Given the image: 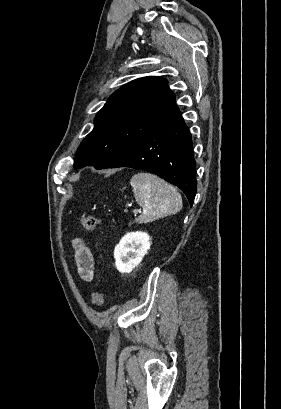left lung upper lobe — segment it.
<instances>
[{"instance_id":"1","label":"left lung upper lobe","mask_w":281,"mask_h":409,"mask_svg":"<svg viewBox=\"0 0 281 409\" xmlns=\"http://www.w3.org/2000/svg\"><path fill=\"white\" fill-rule=\"evenodd\" d=\"M179 112L175 95L161 77H143L117 90L94 119L79 146L74 167L101 169L108 161Z\"/></svg>"}]
</instances>
